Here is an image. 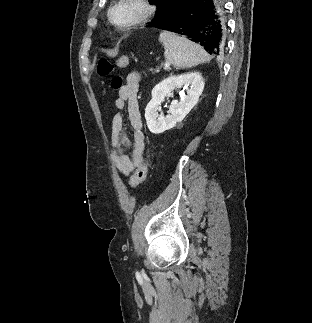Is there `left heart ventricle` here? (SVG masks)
Listing matches in <instances>:
<instances>
[{
  "instance_id": "left-heart-ventricle-1",
  "label": "left heart ventricle",
  "mask_w": 312,
  "mask_h": 323,
  "mask_svg": "<svg viewBox=\"0 0 312 323\" xmlns=\"http://www.w3.org/2000/svg\"><path fill=\"white\" fill-rule=\"evenodd\" d=\"M115 18H140L139 7H114Z\"/></svg>"
}]
</instances>
